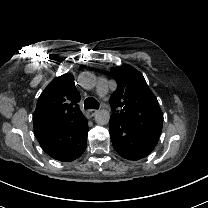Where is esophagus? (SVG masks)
Instances as JSON below:
<instances>
[{
	"mask_svg": "<svg viewBox=\"0 0 208 208\" xmlns=\"http://www.w3.org/2000/svg\"><path fill=\"white\" fill-rule=\"evenodd\" d=\"M97 112H98V110H96V109H90L87 111V114L91 118V117H94L97 114Z\"/></svg>",
	"mask_w": 208,
	"mask_h": 208,
	"instance_id": "1",
	"label": "esophagus"
}]
</instances>
